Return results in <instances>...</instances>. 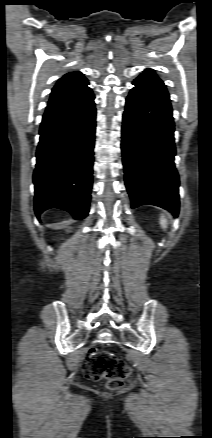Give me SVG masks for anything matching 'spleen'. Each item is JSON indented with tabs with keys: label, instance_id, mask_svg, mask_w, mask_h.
Wrapping results in <instances>:
<instances>
[{
	"label": "spleen",
	"instance_id": "spleen-1",
	"mask_svg": "<svg viewBox=\"0 0 212 438\" xmlns=\"http://www.w3.org/2000/svg\"><path fill=\"white\" fill-rule=\"evenodd\" d=\"M160 225L165 230L168 226V220L165 218L164 215H161L160 217Z\"/></svg>",
	"mask_w": 212,
	"mask_h": 438
}]
</instances>
